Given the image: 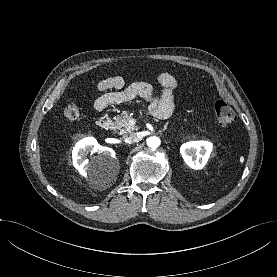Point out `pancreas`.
<instances>
[{"instance_id": "1", "label": "pancreas", "mask_w": 277, "mask_h": 277, "mask_svg": "<svg viewBox=\"0 0 277 277\" xmlns=\"http://www.w3.org/2000/svg\"><path fill=\"white\" fill-rule=\"evenodd\" d=\"M131 115L127 111H123L121 115L114 118V130L119 133H129L136 130L135 126L130 125Z\"/></svg>"}]
</instances>
